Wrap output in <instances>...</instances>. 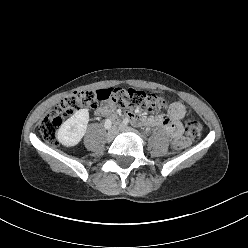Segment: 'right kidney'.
<instances>
[{
	"label": "right kidney",
	"mask_w": 248,
	"mask_h": 248,
	"mask_svg": "<svg viewBox=\"0 0 248 248\" xmlns=\"http://www.w3.org/2000/svg\"><path fill=\"white\" fill-rule=\"evenodd\" d=\"M88 122V110H78L73 116L67 119L59 128L57 133L58 141L66 147L76 146L85 135Z\"/></svg>",
	"instance_id": "right-kidney-1"
}]
</instances>
